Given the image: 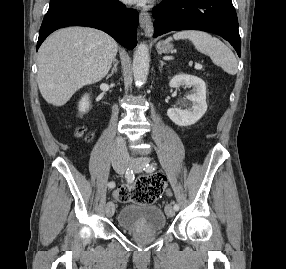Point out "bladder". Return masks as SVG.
Wrapping results in <instances>:
<instances>
[{
  "label": "bladder",
  "instance_id": "1",
  "mask_svg": "<svg viewBox=\"0 0 286 269\" xmlns=\"http://www.w3.org/2000/svg\"><path fill=\"white\" fill-rule=\"evenodd\" d=\"M119 227L127 232H160L166 229L167 220L159 206L127 203L117 216Z\"/></svg>",
  "mask_w": 286,
  "mask_h": 269
}]
</instances>
